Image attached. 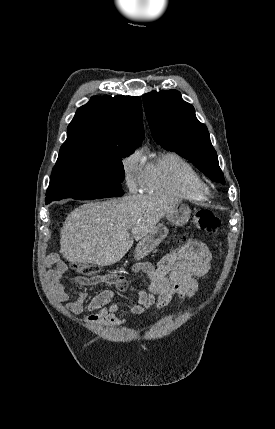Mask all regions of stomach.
<instances>
[{
	"label": "stomach",
	"instance_id": "0dacf381",
	"mask_svg": "<svg viewBox=\"0 0 275 429\" xmlns=\"http://www.w3.org/2000/svg\"><path fill=\"white\" fill-rule=\"evenodd\" d=\"M191 210L185 204H177L173 210L166 214L170 224L182 226L188 222ZM168 228L164 224H158L144 237L135 248V258L142 259L153 251L167 236Z\"/></svg>",
	"mask_w": 275,
	"mask_h": 429
}]
</instances>
